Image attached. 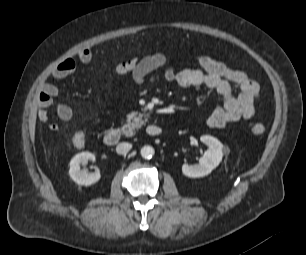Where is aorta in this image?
<instances>
[{
    "mask_svg": "<svg viewBox=\"0 0 306 255\" xmlns=\"http://www.w3.org/2000/svg\"><path fill=\"white\" fill-rule=\"evenodd\" d=\"M155 151L152 146H143L140 150V154L144 159H151Z\"/></svg>",
    "mask_w": 306,
    "mask_h": 255,
    "instance_id": "aorta-1",
    "label": "aorta"
}]
</instances>
